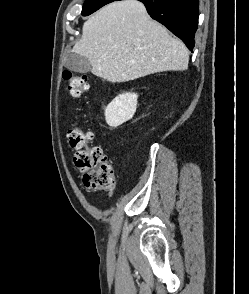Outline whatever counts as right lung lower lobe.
Returning <instances> with one entry per match:
<instances>
[{
  "label": "right lung lower lobe",
  "mask_w": 249,
  "mask_h": 294,
  "mask_svg": "<svg viewBox=\"0 0 249 294\" xmlns=\"http://www.w3.org/2000/svg\"><path fill=\"white\" fill-rule=\"evenodd\" d=\"M149 15L178 36L192 51L198 24V0H139Z\"/></svg>",
  "instance_id": "98d812e1"
}]
</instances>
